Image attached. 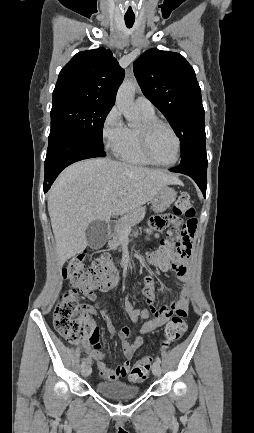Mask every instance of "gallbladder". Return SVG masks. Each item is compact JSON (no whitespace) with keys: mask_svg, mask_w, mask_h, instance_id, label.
<instances>
[{"mask_svg":"<svg viewBox=\"0 0 254 433\" xmlns=\"http://www.w3.org/2000/svg\"><path fill=\"white\" fill-rule=\"evenodd\" d=\"M108 233V225L105 221H92L85 232L88 246L92 249L101 248L107 241Z\"/></svg>","mask_w":254,"mask_h":433,"instance_id":"bac80fb5","label":"gallbladder"}]
</instances>
